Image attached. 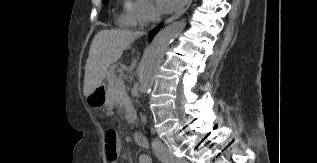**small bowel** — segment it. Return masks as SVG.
I'll return each mask as SVG.
<instances>
[{
	"label": "small bowel",
	"instance_id": "1",
	"mask_svg": "<svg viewBox=\"0 0 317 163\" xmlns=\"http://www.w3.org/2000/svg\"><path fill=\"white\" fill-rule=\"evenodd\" d=\"M138 163H152V160H151L150 156H148L146 154H142V155H140V157L138 159Z\"/></svg>",
	"mask_w": 317,
	"mask_h": 163
}]
</instances>
